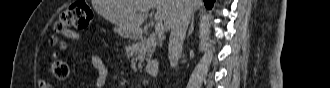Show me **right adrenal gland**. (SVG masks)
I'll list each match as a JSON object with an SVG mask.
<instances>
[{
    "mask_svg": "<svg viewBox=\"0 0 330 88\" xmlns=\"http://www.w3.org/2000/svg\"><path fill=\"white\" fill-rule=\"evenodd\" d=\"M193 30H194V16H192V18H191V24H190V28L187 33V37H189L192 34Z\"/></svg>",
    "mask_w": 330,
    "mask_h": 88,
    "instance_id": "right-adrenal-gland-1",
    "label": "right adrenal gland"
}]
</instances>
